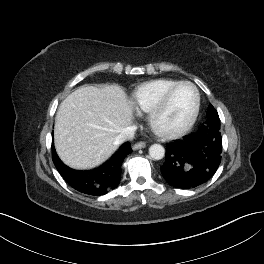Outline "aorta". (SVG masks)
Wrapping results in <instances>:
<instances>
[{"mask_svg": "<svg viewBox=\"0 0 264 264\" xmlns=\"http://www.w3.org/2000/svg\"><path fill=\"white\" fill-rule=\"evenodd\" d=\"M149 155L154 160H160L165 156V149L160 144H153L149 148Z\"/></svg>", "mask_w": 264, "mask_h": 264, "instance_id": "aorta-1", "label": "aorta"}]
</instances>
